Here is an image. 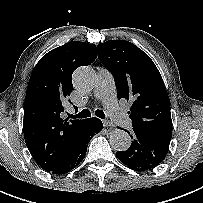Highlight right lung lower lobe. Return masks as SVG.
<instances>
[{
    "instance_id": "right-lung-lower-lobe-1",
    "label": "right lung lower lobe",
    "mask_w": 203,
    "mask_h": 203,
    "mask_svg": "<svg viewBox=\"0 0 203 203\" xmlns=\"http://www.w3.org/2000/svg\"><path fill=\"white\" fill-rule=\"evenodd\" d=\"M103 129V124L98 118L86 119L81 128L76 132L61 162L54 169L53 174H66L83 160L90 138Z\"/></svg>"
}]
</instances>
